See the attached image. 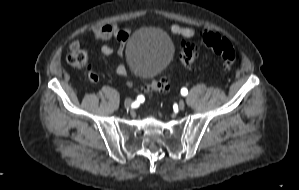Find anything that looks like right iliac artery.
Returning <instances> with one entry per match:
<instances>
[{
	"label": "right iliac artery",
	"instance_id": "1",
	"mask_svg": "<svg viewBox=\"0 0 299 190\" xmlns=\"http://www.w3.org/2000/svg\"><path fill=\"white\" fill-rule=\"evenodd\" d=\"M139 100H144V97L142 95L138 96V101Z\"/></svg>",
	"mask_w": 299,
	"mask_h": 190
}]
</instances>
